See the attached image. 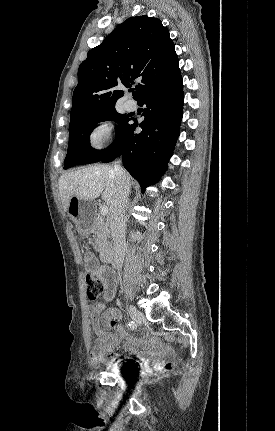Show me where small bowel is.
<instances>
[{"label": "small bowel", "mask_w": 275, "mask_h": 431, "mask_svg": "<svg viewBox=\"0 0 275 431\" xmlns=\"http://www.w3.org/2000/svg\"><path fill=\"white\" fill-rule=\"evenodd\" d=\"M85 263L104 284L103 302L88 307L90 327L94 337V347L91 351L92 361L94 363L116 362L120 357V354L116 352V347L122 341L124 350L135 354L145 365L152 362L157 369L168 365L175 356L172 348L148 335L131 334L121 323L118 309L106 308V304L115 297L117 289V278L114 272L105 266H99L91 253L86 254ZM112 328L116 329V333L110 332Z\"/></svg>", "instance_id": "1"}]
</instances>
